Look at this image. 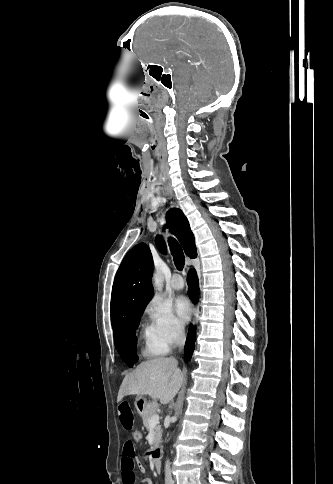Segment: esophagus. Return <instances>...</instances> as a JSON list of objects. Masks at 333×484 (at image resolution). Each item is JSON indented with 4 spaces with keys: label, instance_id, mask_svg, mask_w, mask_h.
Here are the masks:
<instances>
[{
    "label": "esophagus",
    "instance_id": "1",
    "mask_svg": "<svg viewBox=\"0 0 333 484\" xmlns=\"http://www.w3.org/2000/svg\"><path fill=\"white\" fill-rule=\"evenodd\" d=\"M198 315H199V308H198V305L196 304L194 306V319H193V325H195L197 323V320H198Z\"/></svg>",
    "mask_w": 333,
    "mask_h": 484
}]
</instances>
